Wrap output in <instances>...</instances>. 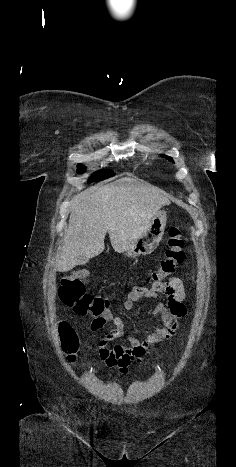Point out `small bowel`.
<instances>
[{"label": "small bowel", "mask_w": 236, "mask_h": 467, "mask_svg": "<svg viewBox=\"0 0 236 467\" xmlns=\"http://www.w3.org/2000/svg\"><path fill=\"white\" fill-rule=\"evenodd\" d=\"M161 295L166 303H158L153 309V315L161 317V323L144 338H137L125 332L123 320L108 309L91 322V330H101L107 321L112 322L113 328L99 343L97 354L109 368L118 367L121 374H127L134 364L143 361L147 351L159 343L171 339L180 327V319L187 315L183 304L186 297L184 281L181 277L173 276L165 283L152 285L151 288L133 287L126 296L122 308L130 312L134 305L143 299H156ZM121 340L126 344H119L109 348V343Z\"/></svg>", "instance_id": "small-bowel-1"}]
</instances>
